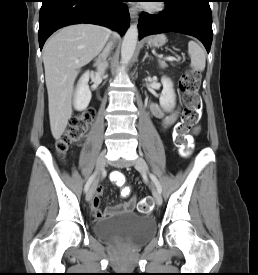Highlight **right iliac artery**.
<instances>
[{"label": "right iliac artery", "mask_w": 258, "mask_h": 275, "mask_svg": "<svg viewBox=\"0 0 258 275\" xmlns=\"http://www.w3.org/2000/svg\"><path fill=\"white\" fill-rule=\"evenodd\" d=\"M95 176H96V173L92 174V175L90 176V178L88 179V181H87V183H86V185H85V188H84V191H85V192L88 191V189H89L91 183L93 182Z\"/></svg>", "instance_id": "82829eb1"}]
</instances>
